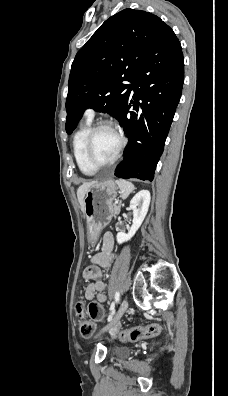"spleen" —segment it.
Returning <instances> with one entry per match:
<instances>
[{
    "label": "spleen",
    "mask_w": 228,
    "mask_h": 396,
    "mask_svg": "<svg viewBox=\"0 0 228 396\" xmlns=\"http://www.w3.org/2000/svg\"><path fill=\"white\" fill-rule=\"evenodd\" d=\"M116 184L120 188L122 199H126L135 189L134 185L131 182L123 179L116 180Z\"/></svg>",
    "instance_id": "1"
}]
</instances>
